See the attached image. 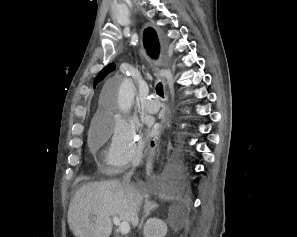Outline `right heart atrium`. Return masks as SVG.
Returning a JSON list of instances; mask_svg holds the SVG:
<instances>
[{"mask_svg":"<svg viewBox=\"0 0 297 237\" xmlns=\"http://www.w3.org/2000/svg\"><path fill=\"white\" fill-rule=\"evenodd\" d=\"M94 132L98 144L106 143L105 162L112 172H119L138 163L144 151V140L138 124L117 112L100 115Z\"/></svg>","mask_w":297,"mask_h":237,"instance_id":"d8ad5b80","label":"right heart atrium"}]
</instances>
